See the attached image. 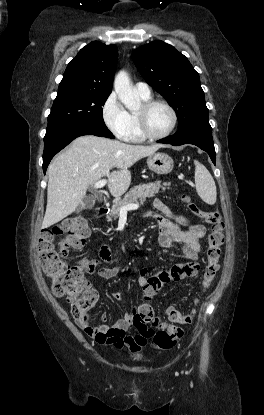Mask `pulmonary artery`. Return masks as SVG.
<instances>
[{
    "label": "pulmonary artery",
    "instance_id": "e3ab8cb5",
    "mask_svg": "<svg viewBox=\"0 0 264 415\" xmlns=\"http://www.w3.org/2000/svg\"><path fill=\"white\" fill-rule=\"evenodd\" d=\"M134 88L139 95H142L145 97L151 96V89L149 85L144 82H137Z\"/></svg>",
    "mask_w": 264,
    "mask_h": 415
}]
</instances>
